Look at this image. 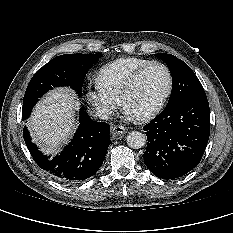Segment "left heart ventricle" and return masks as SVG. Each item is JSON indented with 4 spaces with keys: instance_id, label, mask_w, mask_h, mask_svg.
I'll return each mask as SVG.
<instances>
[{
    "instance_id": "b2bd125f",
    "label": "left heart ventricle",
    "mask_w": 233,
    "mask_h": 233,
    "mask_svg": "<svg viewBox=\"0 0 233 233\" xmlns=\"http://www.w3.org/2000/svg\"><path fill=\"white\" fill-rule=\"evenodd\" d=\"M168 87L166 71L159 66L147 69L125 102V110L132 116L149 111L162 98Z\"/></svg>"
}]
</instances>
